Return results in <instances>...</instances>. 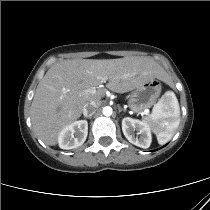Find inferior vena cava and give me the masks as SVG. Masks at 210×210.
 <instances>
[{
  "instance_id": "1",
  "label": "inferior vena cava",
  "mask_w": 210,
  "mask_h": 210,
  "mask_svg": "<svg viewBox=\"0 0 210 210\" xmlns=\"http://www.w3.org/2000/svg\"><path fill=\"white\" fill-rule=\"evenodd\" d=\"M98 108V103L96 101L88 102L83 107L84 116H92Z\"/></svg>"
}]
</instances>
